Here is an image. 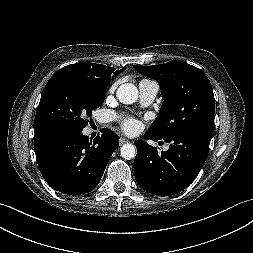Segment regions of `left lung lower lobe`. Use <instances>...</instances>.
<instances>
[{
    "label": "left lung lower lobe",
    "mask_w": 253,
    "mask_h": 253,
    "mask_svg": "<svg viewBox=\"0 0 253 253\" xmlns=\"http://www.w3.org/2000/svg\"><path fill=\"white\" fill-rule=\"evenodd\" d=\"M212 132L199 129L161 139L146 132L145 138L170 143L167 151L158 152L144 141H135L137 155L134 173L146 192L170 196L184 190L200 172L209 152Z\"/></svg>",
    "instance_id": "obj_1"
}]
</instances>
